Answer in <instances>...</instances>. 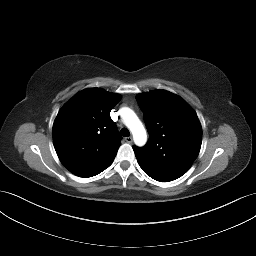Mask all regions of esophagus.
Listing matches in <instances>:
<instances>
[{
    "label": "esophagus",
    "instance_id": "34e87169",
    "mask_svg": "<svg viewBox=\"0 0 256 256\" xmlns=\"http://www.w3.org/2000/svg\"><path fill=\"white\" fill-rule=\"evenodd\" d=\"M125 140L127 143H132V141H133L132 137H127V138H125Z\"/></svg>",
    "mask_w": 256,
    "mask_h": 256
}]
</instances>
